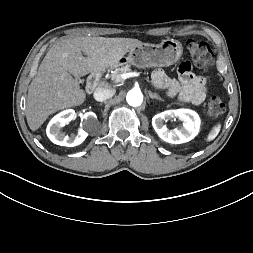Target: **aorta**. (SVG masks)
Segmentation results:
<instances>
[{"label": "aorta", "mask_w": 253, "mask_h": 253, "mask_svg": "<svg viewBox=\"0 0 253 253\" xmlns=\"http://www.w3.org/2000/svg\"><path fill=\"white\" fill-rule=\"evenodd\" d=\"M126 100L133 107L140 106L143 102V95L140 90L132 89L127 93Z\"/></svg>", "instance_id": "1"}]
</instances>
